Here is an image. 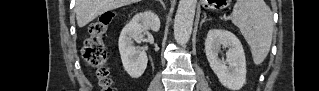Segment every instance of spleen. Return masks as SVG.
Returning <instances> with one entry per match:
<instances>
[{"instance_id": "3e777b00", "label": "spleen", "mask_w": 319, "mask_h": 91, "mask_svg": "<svg viewBox=\"0 0 319 91\" xmlns=\"http://www.w3.org/2000/svg\"><path fill=\"white\" fill-rule=\"evenodd\" d=\"M231 20L250 46L254 64H262L272 43L273 17L270 8L263 0H237Z\"/></svg>"}]
</instances>
